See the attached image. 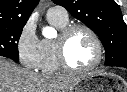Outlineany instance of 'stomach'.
Returning a JSON list of instances; mask_svg holds the SVG:
<instances>
[{"label":"stomach","instance_id":"obj_1","mask_svg":"<svg viewBox=\"0 0 127 92\" xmlns=\"http://www.w3.org/2000/svg\"><path fill=\"white\" fill-rule=\"evenodd\" d=\"M121 79L116 75L104 72H92L83 76L71 92H114L122 90Z\"/></svg>","mask_w":127,"mask_h":92}]
</instances>
